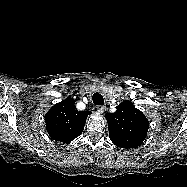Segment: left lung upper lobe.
Masks as SVG:
<instances>
[{
	"mask_svg": "<svg viewBox=\"0 0 187 187\" xmlns=\"http://www.w3.org/2000/svg\"><path fill=\"white\" fill-rule=\"evenodd\" d=\"M109 136L111 141L120 148H136L146 138L149 122L132 102L125 100L117 106V111L107 113Z\"/></svg>",
	"mask_w": 187,
	"mask_h": 187,
	"instance_id": "left-lung-upper-lobe-1",
	"label": "left lung upper lobe"
}]
</instances>
